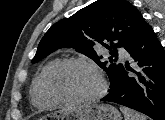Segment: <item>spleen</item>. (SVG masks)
<instances>
[{"label":"spleen","mask_w":165,"mask_h":120,"mask_svg":"<svg viewBox=\"0 0 165 120\" xmlns=\"http://www.w3.org/2000/svg\"><path fill=\"white\" fill-rule=\"evenodd\" d=\"M120 110L124 114L125 120H146L144 115L134 112L126 107H120Z\"/></svg>","instance_id":"3e777b00"}]
</instances>
